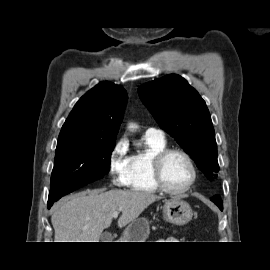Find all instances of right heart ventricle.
Wrapping results in <instances>:
<instances>
[{
    "mask_svg": "<svg viewBox=\"0 0 270 270\" xmlns=\"http://www.w3.org/2000/svg\"><path fill=\"white\" fill-rule=\"evenodd\" d=\"M145 149L130 157L127 186L136 192L156 193L159 191L151 176V160L159 151L167 147L166 140L145 135Z\"/></svg>",
    "mask_w": 270,
    "mask_h": 270,
    "instance_id": "e07e8e85",
    "label": "right heart ventricle"
}]
</instances>
